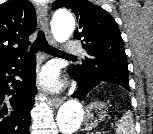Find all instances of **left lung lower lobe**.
Wrapping results in <instances>:
<instances>
[{"mask_svg":"<svg viewBox=\"0 0 153 134\" xmlns=\"http://www.w3.org/2000/svg\"><path fill=\"white\" fill-rule=\"evenodd\" d=\"M68 73L74 79H76L77 83L79 84L78 90L74 93V97L78 98L79 100H83L90 90H92L97 85L103 83V81L100 80L84 77L81 74L77 73L71 67L68 69ZM124 88L130 91L129 87H124Z\"/></svg>","mask_w":153,"mask_h":134,"instance_id":"obj_1","label":"left lung lower lobe"}]
</instances>
